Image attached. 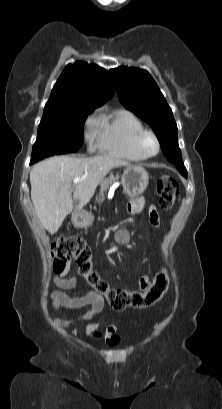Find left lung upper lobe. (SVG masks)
I'll list each match as a JSON object with an SVG mask.
<instances>
[{
  "mask_svg": "<svg viewBox=\"0 0 222 409\" xmlns=\"http://www.w3.org/2000/svg\"><path fill=\"white\" fill-rule=\"evenodd\" d=\"M109 72L122 104L150 124L167 159L187 177L178 146L176 122L153 78L145 70L124 66Z\"/></svg>",
  "mask_w": 222,
  "mask_h": 409,
  "instance_id": "left-lung-upper-lobe-1",
  "label": "left lung upper lobe"
}]
</instances>
